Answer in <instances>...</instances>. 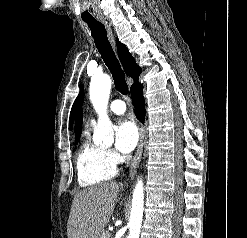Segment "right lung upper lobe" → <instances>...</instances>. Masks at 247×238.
Segmentation results:
<instances>
[{"label":"right lung upper lobe","mask_w":247,"mask_h":238,"mask_svg":"<svg viewBox=\"0 0 247 238\" xmlns=\"http://www.w3.org/2000/svg\"><path fill=\"white\" fill-rule=\"evenodd\" d=\"M116 45L118 49V56L122 63V66L126 74L134 79V84L131 86V89L138 85V78L141 73V68L135 64V60L132 55L128 52V49L124 44L116 39ZM83 121L82 111L76 119L75 124V142H78L81 135V126Z\"/></svg>","instance_id":"1"}]
</instances>
